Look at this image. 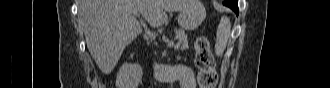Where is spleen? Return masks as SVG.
<instances>
[{
  "label": "spleen",
  "instance_id": "1",
  "mask_svg": "<svg viewBox=\"0 0 330 88\" xmlns=\"http://www.w3.org/2000/svg\"><path fill=\"white\" fill-rule=\"evenodd\" d=\"M231 34V23L228 17L223 16L218 25L215 43V53L221 56L226 49Z\"/></svg>",
  "mask_w": 330,
  "mask_h": 88
}]
</instances>
